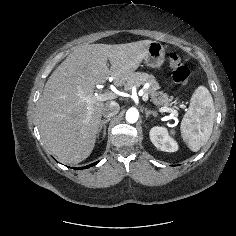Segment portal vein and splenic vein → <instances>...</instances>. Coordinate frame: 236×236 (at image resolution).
Listing matches in <instances>:
<instances>
[{
    "label": "portal vein and splenic vein",
    "mask_w": 236,
    "mask_h": 236,
    "mask_svg": "<svg viewBox=\"0 0 236 236\" xmlns=\"http://www.w3.org/2000/svg\"><path fill=\"white\" fill-rule=\"evenodd\" d=\"M118 95L117 92L115 91H107L105 93H101V94H96L95 97L92 100H88L89 102H96V101H106V100H110V99H114L116 98V96ZM142 99L147 102L148 101V94L145 93L143 94L142 91ZM159 112H169L171 113L172 116H177L178 112L172 108H169L167 106L161 107L158 109ZM89 114H91V112H89Z\"/></svg>",
    "instance_id": "portal-vein-and-splenic-vein-1"
}]
</instances>
